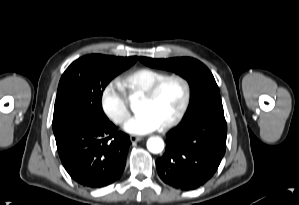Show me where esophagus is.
<instances>
[{
	"instance_id": "34e87169",
	"label": "esophagus",
	"mask_w": 299,
	"mask_h": 205,
	"mask_svg": "<svg viewBox=\"0 0 299 205\" xmlns=\"http://www.w3.org/2000/svg\"><path fill=\"white\" fill-rule=\"evenodd\" d=\"M140 140H142V137H140V136H135V135L130 136V141L131 142H138Z\"/></svg>"
}]
</instances>
